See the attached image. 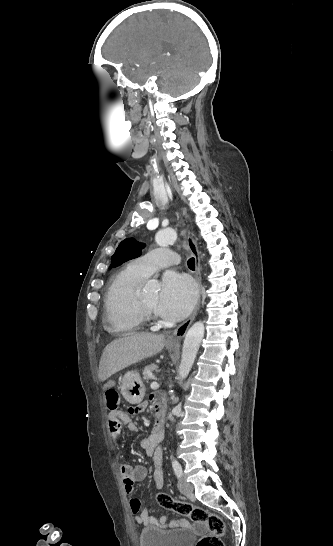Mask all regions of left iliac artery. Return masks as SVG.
<instances>
[{
  "label": "left iliac artery",
  "mask_w": 333,
  "mask_h": 546,
  "mask_svg": "<svg viewBox=\"0 0 333 546\" xmlns=\"http://www.w3.org/2000/svg\"><path fill=\"white\" fill-rule=\"evenodd\" d=\"M172 467H173V470L175 472V475L180 478L182 476V467L180 465V463L177 461V460H173L172 461Z\"/></svg>",
  "instance_id": "obj_1"
}]
</instances>
